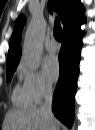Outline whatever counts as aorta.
I'll return each instance as SVG.
<instances>
[{"instance_id": "762f6f07", "label": "aorta", "mask_w": 95, "mask_h": 130, "mask_svg": "<svg viewBox=\"0 0 95 130\" xmlns=\"http://www.w3.org/2000/svg\"><path fill=\"white\" fill-rule=\"evenodd\" d=\"M45 27V21L41 17L34 16L26 30L23 56L27 65L33 70L40 64Z\"/></svg>"}]
</instances>
